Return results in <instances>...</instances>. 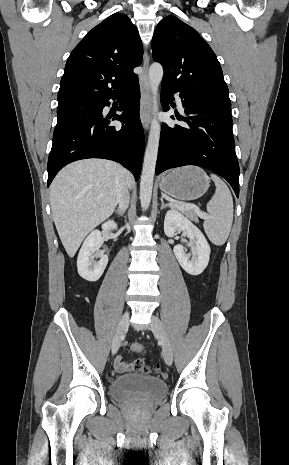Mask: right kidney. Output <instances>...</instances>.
<instances>
[{
  "instance_id": "right-kidney-1",
  "label": "right kidney",
  "mask_w": 289,
  "mask_h": 465,
  "mask_svg": "<svg viewBox=\"0 0 289 465\" xmlns=\"http://www.w3.org/2000/svg\"><path fill=\"white\" fill-rule=\"evenodd\" d=\"M103 230L117 229V224L109 220L102 224ZM103 244L102 234L99 230H93L83 242L77 259L79 275L90 282L97 281L103 274L107 264L108 256L99 253V248ZM100 258L99 261L94 257Z\"/></svg>"
}]
</instances>
